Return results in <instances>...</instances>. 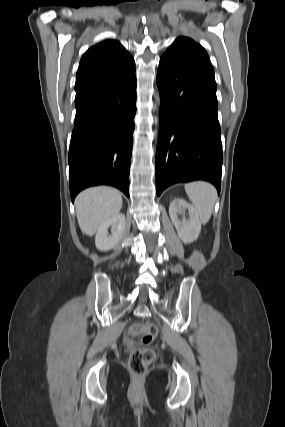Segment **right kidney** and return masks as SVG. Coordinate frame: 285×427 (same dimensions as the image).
<instances>
[{
    "instance_id": "1",
    "label": "right kidney",
    "mask_w": 285,
    "mask_h": 427,
    "mask_svg": "<svg viewBox=\"0 0 285 427\" xmlns=\"http://www.w3.org/2000/svg\"><path fill=\"white\" fill-rule=\"evenodd\" d=\"M125 215L117 214L103 223L97 230L95 245L101 251H108L117 246L124 234ZM111 228V235H108V229Z\"/></svg>"
}]
</instances>
